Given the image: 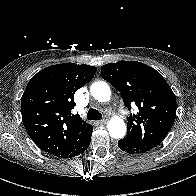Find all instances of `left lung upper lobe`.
Masks as SVG:
<instances>
[{"instance_id":"left-lung-upper-lobe-1","label":"left lung upper lobe","mask_w":196,"mask_h":196,"mask_svg":"<svg viewBox=\"0 0 196 196\" xmlns=\"http://www.w3.org/2000/svg\"><path fill=\"white\" fill-rule=\"evenodd\" d=\"M102 77L117 89L124 104L139 112L127 117L124 138L152 149L160 144L176 118V98L162 75L137 61H118L101 67Z\"/></svg>"}]
</instances>
